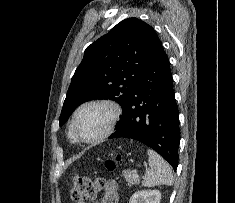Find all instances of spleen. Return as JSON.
Here are the masks:
<instances>
[{"label": "spleen", "mask_w": 235, "mask_h": 203, "mask_svg": "<svg viewBox=\"0 0 235 203\" xmlns=\"http://www.w3.org/2000/svg\"><path fill=\"white\" fill-rule=\"evenodd\" d=\"M147 153L149 156L150 169L146 170L142 185L144 187H154L158 185L171 186L174 182V178L169 164L153 150H148Z\"/></svg>", "instance_id": "obj_1"}]
</instances>
